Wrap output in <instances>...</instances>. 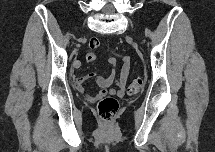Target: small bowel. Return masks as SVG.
Wrapping results in <instances>:
<instances>
[{
	"label": "small bowel",
	"instance_id": "c3829d8e",
	"mask_svg": "<svg viewBox=\"0 0 215 152\" xmlns=\"http://www.w3.org/2000/svg\"><path fill=\"white\" fill-rule=\"evenodd\" d=\"M108 62L113 69L119 70L117 77L114 74H111L109 77L105 78L97 75L95 72H91L85 76L73 78V85L75 89L84 94L86 99L90 102H95L106 94L117 95L119 97L124 95L131 59L128 55H124L122 57L121 65H119L115 58H110ZM89 80H93L99 88L97 93L90 94L86 92L85 86ZM112 85H114V87L110 88Z\"/></svg>",
	"mask_w": 215,
	"mask_h": 152
}]
</instances>
